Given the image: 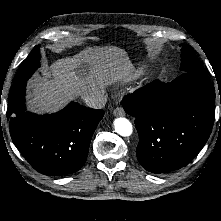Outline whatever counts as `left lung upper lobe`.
<instances>
[{
  "mask_svg": "<svg viewBox=\"0 0 221 221\" xmlns=\"http://www.w3.org/2000/svg\"><path fill=\"white\" fill-rule=\"evenodd\" d=\"M180 70L183 73L192 72L206 74L193 48L189 45H182Z\"/></svg>",
  "mask_w": 221,
  "mask_h": 221,
  "instance_id": "obj_1",
  "label": "left lung upper lobe"
}]
</instances>
